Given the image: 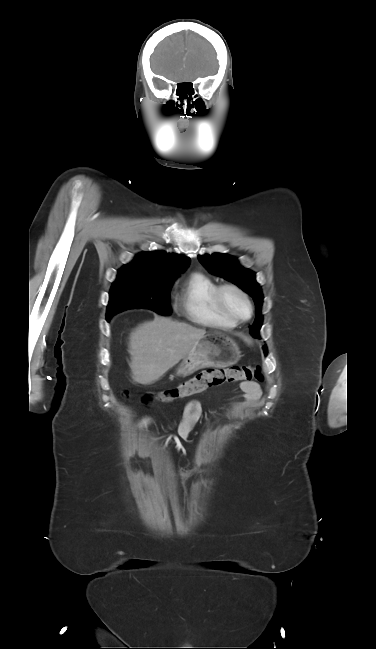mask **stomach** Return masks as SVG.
Returning a JSON list of instances; mask_svg holds the SVG:
<instances>
[{"label":"stomach","instance_id":"stomach-1","mask_svg":"<svg viewBox=\"0 0 376 649\" xmlns=\"http://www.w3.org/2000/svg\"><path fill=\"white\" fill-rule=\"evenodd\" d=\"M241 352L237 343L224 333H207L195 341L177 369V375L186 377L209 367L224 368L239 361Z\"/></svg>","mask_w":376,"mask_h":649}]
</instances>
